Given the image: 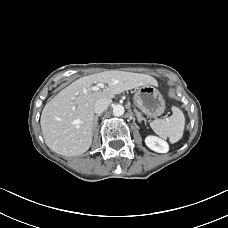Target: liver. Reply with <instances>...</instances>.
Masks as SVG:
<instances>
[{
    "label": "liver",
    "mask_w": 228,
    "mask_h": 228,
    "mask_svg": "<svg viewBox=\"0 0 228 228\" xmlns=\"http://www.w3.org/2000/svg\"><path fill=\"white\" fill-rule=\"evenodd\" d=\"M96 83L107 84L92 91ZM158 83L147 74L124 71H105L74 81L61 90L43 108L40 124L46 145L63 156L86 152L92 143L94 106L101 99H110L126 90Z\"/></svg>",
    "instance_id": "6515ba94"
}]
</instances>
